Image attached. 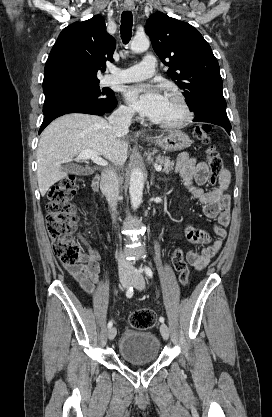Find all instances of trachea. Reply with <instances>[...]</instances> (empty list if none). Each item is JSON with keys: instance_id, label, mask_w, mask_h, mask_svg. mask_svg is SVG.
Returning <instances> with one entry per match:
<instances>
[{"instance_id": "trachea-1", "label": "trachea", "mask_w": 272, "mask_h": 417, "mask_svg": "<svg viewBox=\"0 0 272 417\" xmlns=\"http://www.w3.org/2000/svg\"><path fill=\"white\" fill-rule=\"evenodd\" d=\"M133 15L131 11H124L121 15V38L127 44L132 35Z\"/></svg>"}]
</instances>
